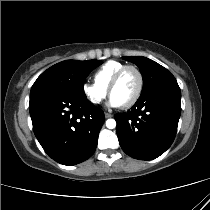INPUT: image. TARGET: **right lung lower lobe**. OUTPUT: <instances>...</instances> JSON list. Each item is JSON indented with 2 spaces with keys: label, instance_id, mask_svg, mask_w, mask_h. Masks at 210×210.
Instances as JSON below:
<instances>
[{
  "label": "right lung lower lobe",
  "instance_id": "98d812e1",
  "mask_svg": "<svg viewBox=\"0 0 210 210\" xmlns=\"http://www.w3.org/2000/svg\"><path fill=\"white\" fill-rule=\"evenodd\" d=\"M29 110L35 136L53 160L71 166L93 155L105 117L86 97L42 92L30 96Z\"/></svg>",
  "mask_w": 210,
  "mask_h": 210
}]
</instances>
